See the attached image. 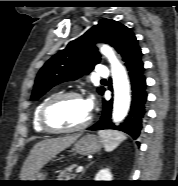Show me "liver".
Returning a JSON list of instances; mask_svg holds the SVG:
<instances>
[{
  "label": "liver",
  "instance_id": "1",
  "mask_svg": "<svg viewBox=\"0 0 178 186\" xmlns=\"http://www.w3.org/2000/svg\"><path fill=\"white\" fill-rule=\"evenodd\" d=\"M79 136V134L69 135L38 142L34 145L22 166L20 179L22 181L30 179V177L47 164L49 160L73 144Z\"/></svg>",
  "mask_w": 178,
  "mask_h": 186
}]
</instances>
